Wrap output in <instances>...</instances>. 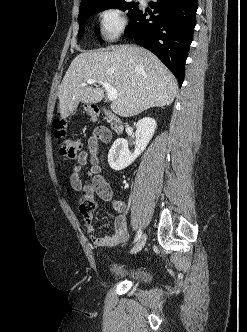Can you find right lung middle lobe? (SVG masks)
<instances>
[{
  "instance_id": "dd1d6c3e",
  "label": "right lung middle lobe",
  "mask_w": 247,
  "mask_h": 332,
  "mask_svg": "<svg viewBox=\"0 0 247 332\" xmlns=\"http://www.w3.org/2000/svg\"><path fill=\"white\" fill-rule=\"evenodd\" d=\"M110 8L128 11L129 17H132L139 10L138 3L129 2L127 0H106L81 8L78 16L79 37H81L84 32V25L88 17L94 13Z\"/></svg>"
}]
</instances>
